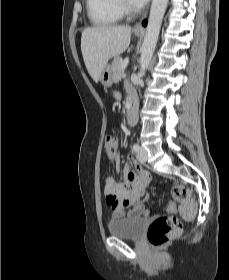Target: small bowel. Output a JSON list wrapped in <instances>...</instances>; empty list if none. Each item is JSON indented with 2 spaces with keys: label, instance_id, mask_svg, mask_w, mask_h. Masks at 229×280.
Masks as SVG:
<instances>
[{
  "label": "small bowel",
  "instance_id": "c3829d8e",
  "mask_svg": "<svg viewBox=\"0 0 229 280\" xmlns=\"http://www.w3.org/2000/svg\"><path fill=\"white\" fill-rule=\"evenodd\" d=\"M119 98V95H115ZM115 161L116 172L121 171V159L118 154L113 155ZM129 160L133 162L135 170H131L127 165L124 170L125 183H118L113 176H108L105 179L104 195L108 205L113 210L114 218H121L125 215L136 217H148L149 210L144 205L146 196L147 183L141 180L135 182L137 176H143V167L141 162L129 156Z\"/></svg>",
  "mask_w": 229,
  "mask_h": 280
}]
</instances>
